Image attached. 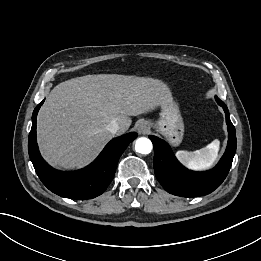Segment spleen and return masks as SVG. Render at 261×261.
<instances>
[{
    "label": "spleen",
    "mask_w": 261,
    "mask_h": 261,
    "mask_svg": "<svg viewBox=\"0 0 261 261\" xmlns=\"http://www.w3.org/2000/svg\"><path fill=\"white\" fill-rule=\"evenodd\" d=\"M219 145L220 142L216 139L200 150L193 152L179 150L176 152V157L189 169H208L218 157Z\"/></svg>",
    "instance_id": "spleen-1"
}]
</instances>
